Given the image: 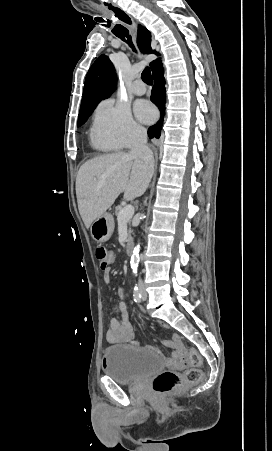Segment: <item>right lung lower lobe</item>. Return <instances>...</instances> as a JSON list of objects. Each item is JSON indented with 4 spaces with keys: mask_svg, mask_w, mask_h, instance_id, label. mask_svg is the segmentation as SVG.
<instances>
[{
    "mask_svg": "<svg viewBox=\"0 0 272 451\" xmlns=\"http://www.w3.org/2000/svg\"><path fill=\"white\" fill-rule=\"evenodd\" d=\"M152 75L155 81L154 87L152 89V94H151V101L156 104L159 109L162 111V116H161V120L149 127L148 129V135L150 138L156 137L159 138L160 137V133H161V127H162V122H163V117H164V110H165V79H164V70H163V66H162V62L158 63L155 68L152 70Z\"/></svg>",
    "mask_w": 272,
    "mask_h": 451,
    "instance_id": "obj_1",
    "label": "right lung lower lobe"
}]
</instances>
